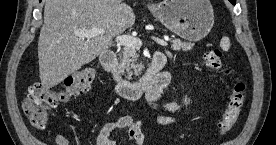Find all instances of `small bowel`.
<instances>
[{"label": "small bowel", "mask_w": 276, "mask_h": 145, "mask_svg": "<svg viewBox=\"0 0 276 145\" xmlns=\"http://www.w3.org/2000/svg\"><path fill=\"white\" fill-rule=\"evenodd\" d=\"M161 92H150L145 95L147 103L160 111L162 114L158 118L160 124H172L177 121L176 111L177 106L173 102L164 104L159 103ZM125 130L127 139L132 145H144L145 137L142 131V124L131 116H122L116 121L105 123L98 131L95 144L96 145H116V141L111 138V133L114 130ZM57 145H68L69 142L64 135L58 134L55 137Z\"/></svg>", "instance_id": "small-bowel-1"}]
</instances>
